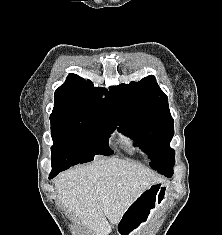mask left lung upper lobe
I'll return each instance as SVG.
<instances>
[{
    "mask_svg": "<svg viewBox=\"0 0 222 235\" xmlns=\"http://www.w3.org/2000/svg\"><path fill=\"white\" fill-rule=\"evenodd\" d=\"M119 130L138 141L151 154L150 166L171 177L175 152L169 144L174 135V121L168 97L153 75L128 85L111 88Z\"/></svg>",
    "mask_w": 222,
    "mask_h": 235,
    "instance_id": "left-lung-upper-lobe-1",
    "label": "left lung upper lobe"
}]
</instances>
